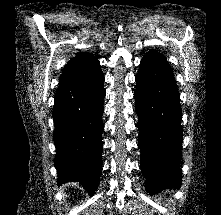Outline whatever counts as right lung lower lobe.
Segmentation results:
<instances>
[{
	"instance_id": "98d812e1",
	"label": "right lung lower lobe",
	"mask_w": 221,
	"mask_h": 215,
	"mask_svg": "<svg viewBox=\"0 0 221 215\" xmlns=\"http://www.w3.org/2000/svg\"><path fill=\"white\" fill-rule=\"evenodd\" d=\"M103 83L98 69L60 85L52 113L58 182L79 181L90 194L95 192L102 168Z\"/></svg>"
}]
</instances>
